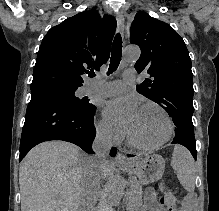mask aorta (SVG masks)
I'll return each instance as SVG.
<instances>
[{"label":"aorta","instance_id":"762f6f07","mask_svg":"<svg viewBox=\"0 0 219 211\" xmlns=\"http://www.w3.org/2000/svg\"><path fill=\"white\" fill-rule=\"evenodd\" d=\"M140 56V50L136 46H128L125 49V61L134 62ZM125 192V183L123 180H118L110 187L108 192L107 203L110 207L119 205Z\"/></svg>","mask_w":219,"mask_h":211}]
</instances>
